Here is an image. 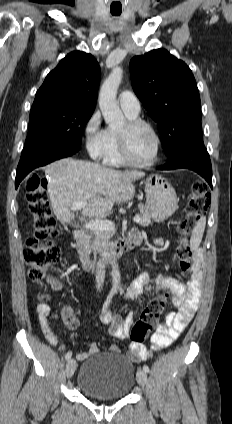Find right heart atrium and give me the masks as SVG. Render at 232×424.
<instances>
[{
  "mask_svg": "<svg viewBox=\"0 0 232 424\" xmlns=\"http://www.w3.org/2000/svg\"><path fill=\"white\" fill-rule=\"evenodd\" d=\"M83 138L85 147L93 159L104 156L108 146V134L101 125V115L98 111H95L85 122Z\"/></svg>",
  "mask_w": 232,
  "mask_h": 424,
  "instance_id": "right-heart-atrium-1",
  "label": "right heart atrium"
}]
</instances>
